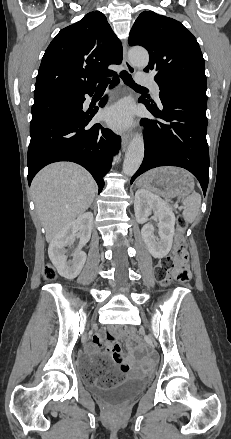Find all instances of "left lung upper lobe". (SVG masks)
Returning a JSON list of instances; mask_svg holds the SVG:
<instances>
[{
  "mask_svg": "<svg viewBox=\"0 0 231 439\" xmlns=\"http://www.w3.org/2000/svg\"><path fill=\"white\" fill-rule=\"evenodd\" d=\"M128 43L148 50L150 60L144 71L155 74L161 91L189 88L206 92L204 59L199 44L179 21L144 11L136 19Z\"/></svg>",
  "mask_w": 231,
  "mask_h": 439,
  "instance_id": "left-lung-upper-lobe-1",
  "label": "left lung upper lobe"
}]
</instances>
